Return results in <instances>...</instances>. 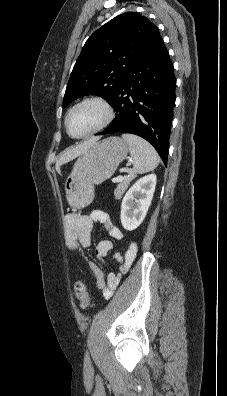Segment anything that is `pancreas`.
<instances>
[{
	"label": "pancreas",
	"mask_w": 227,
	"mask_h": 396,
	"mask_svg": "<svg viewBox=\"0 0 227 396\" xmlns=\"http://www.w3.org/2000/svg\"><path fill=\"white\" fill-rule=\"evenodd\" d=\"M135 178L134 174H130L129 177L123 178L119 184L117 185V188L114 190V197L115 199L119 200L122 195L124 194L125 190L128 188L130 182Z\"/></svg>",
	"instance_id": "pancreas-1"
}]
</instances>
